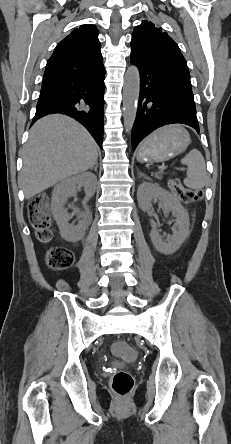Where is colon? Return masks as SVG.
<instances>
[{
  "label": "colon",
  "mask_w": 231,
  "mask_h": 444,
  "mask_svg": "<svg viewBox=\"0 0 231 444\" xmlns=\"http://www.w3.org/2000/svg\"><path fill=\"white\" fill-rule=\"evenodd\" d=\"M169 188L183 203H193L202 198L203 192L183 186L179 179L173 178L168 182ZM29 216L32 226L36 230L37 238L46 242L51 237L50 212L47 197L45 195L35 196L29 204ZM48 266L55 271L68 269L73 263V254L65 248H53L46 255ZM113 353L125 360H132L135 356L133 348L122 341H117L112 346ZM134 379L132 375L124 370L116 371L111 378L113 391L122 397L127 396L133 389Z\"/></svg>",
  "instance_id": "5ec220e1"
}]
</instances>
